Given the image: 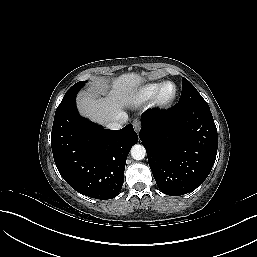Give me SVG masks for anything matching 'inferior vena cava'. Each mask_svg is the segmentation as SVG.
Masks as SVG:
<instances>
[{"label":"inferior vena cava","instance_id":"obj_1","mask_svg":"<svg viewBox=\"0 0 257 257\" xmlns=\"http://www.w3.org/2000/svg\"><path fill=\"white\" fill-rule=\"evenodd\" d=\"M128 121V115L125 112H120L117 117L116 120L114 121H110L107 123V128L111 129V130H118L121 129L123 127V125H125Z\"/></svg>","mask_w":257,"mask_h":257}]
</instances>
